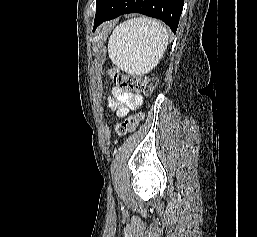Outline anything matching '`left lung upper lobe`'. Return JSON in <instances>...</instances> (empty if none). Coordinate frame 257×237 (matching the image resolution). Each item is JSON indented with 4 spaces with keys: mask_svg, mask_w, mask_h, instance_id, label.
<instances>
[{
    "mask_svg": "<svg viewBox=\"0 0 257 237\" xmlns=\"http://www.w3.org/2000/svg\"><path fill=\"white\" fill-rule=\"evenodd\" d=\"M108 0H97L96 1V16L100 13L104 5L107 3Z\"/></svg>",
    "mask_w": 257,
    "mask_h": 237,
    "instance_id": "5c2ea615",
    "label": "left lung upper lobe"
}]
</instances>
